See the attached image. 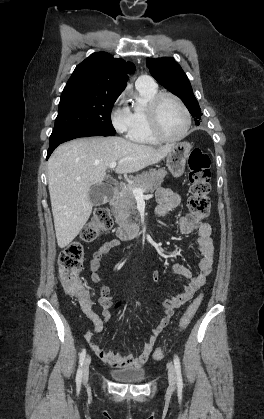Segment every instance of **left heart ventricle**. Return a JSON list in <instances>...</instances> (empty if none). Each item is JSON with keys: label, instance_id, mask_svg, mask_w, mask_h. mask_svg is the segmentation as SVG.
<instances>
[{"label": "left heart ventricle", "instance_id": "obj_1", "mask_svg": "<svg viewBox=\"0 0 264 419\" xmlns=\"http://www.w3.org/2000/svg\"><path fill=\"white\" fill-rule=\"evenodd\" d=\"M159 120L163 133L175 137L185 127V116L179 105L170 98H165L159 108Z\"/></svg>", "mask_w": 264, "mask_h": 419}]
</instances>
